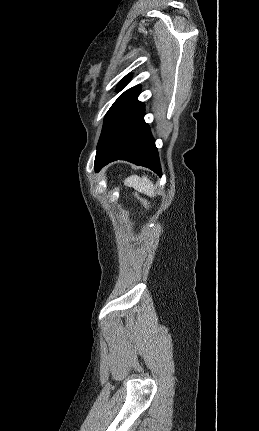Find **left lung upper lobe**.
Returning <instances> with one entry per match:
<instances>
[{
    "instance_id": "obj_1",
    "label": "left lung upper lobe",
    "mask_w": 259,
    "mask_h": 431,
    "mask_svg": "<svg viewBox=\"0 0 259 431\" xmlns=\"http://www.w3.org/2000/svg\"><path fill=\"white\" fill-rule=\"evenodd\" d=\"M131 79V76H126L118 85V89H122ZM140 86H134L121 94L110 107L105 115L101 135L98 141L97 150L106 141L111 132L116 126L133 110H135L142 102L137 100L140 93Z\"/></svg>"
}]
</instances>
